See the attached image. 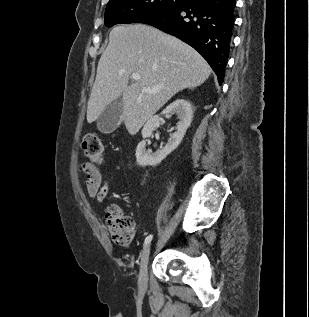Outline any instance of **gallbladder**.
Instances as JSON below:
<instances>
[{
  "label": "gallbladder",
  "instance_id": "bac80fb5",
  "mask_svg": "<svg viewBox=\"0 0 309 317\" xmlns=\"http://www.w3.org/2000/svg\"><path fill=\"white\" fill-rule=\"evenodd\" d=\"M123 114V103L121 97L117 98L105 107L97 119V128L100 132L108 134L119 126Z\"/></svg>",
  "mask_w": 309,
  "mask_h": 317
}]
</instances>
